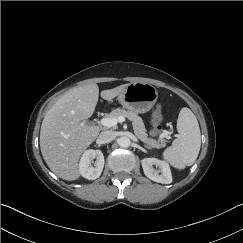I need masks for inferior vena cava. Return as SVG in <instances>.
<instances>
[{"mask_svg": "<svg viewBox=\"0 0 243 243\" xmlns=\"http://www.w3.org/2000/svg\"><path fill=\"white\" fill-rule=\"evenodd\" d=\"M116 138V134L114 131L112 130H106V131H102L99 135V139L103 142V143H109L111 141H113Z\"/></svg>", "mask_w": 243, "mask_h": 243, "instance_id": "1", "label": "inferior vena cava"}]
</instances>
